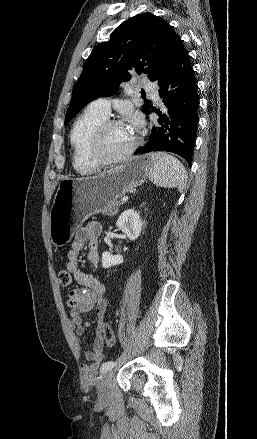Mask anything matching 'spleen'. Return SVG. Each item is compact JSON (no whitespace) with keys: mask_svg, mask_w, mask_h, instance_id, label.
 I'll return each instance as SVG.
<instances>
[{"mask_svg":"<svg viewBox=\"0 0 257 439\" xmlns=\"http://www.w3.org/2000/svg\"><path fill=\"white\" fill-rule=\"evenodd\" d=\"M154 165L149 172L150 180L159 187L178 188L183 191L187 182V173L181 162L164 152L152 154Z\"/></svg>","mask_w":257,"mask_h":439,"instance_id":"obj_1","label":"spleen"}]
</instances>
